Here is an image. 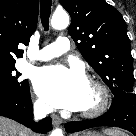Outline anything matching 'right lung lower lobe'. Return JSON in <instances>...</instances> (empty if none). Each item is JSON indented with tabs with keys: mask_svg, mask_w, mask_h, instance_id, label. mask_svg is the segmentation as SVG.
Wrapping results in <instances>:
<instances>
[{
	"mask_svg": "<svg viewBox=\"0 0 136 136\" xmlns=\"http://www.w3.org/2000/svg\"><path fill=\"white\" fill-rule=\"evenodd\" d=\"M0 115L13 119L37 133L45 134L52 129L50 117L43 119L40 123L33 121L29 86L18 95L0 96Z\"/></svg>",
	"mask_w": 136,
	"mask_h": 136,
	"instance_id": "obj_1",
	"label": "right lung lower lobe"
}]
</instances>
